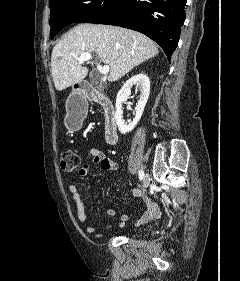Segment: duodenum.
Listing matches in <instances>:
<instances>
[{
  "mask_svg": "<svg viewBox=\"0 0 240 281\" xmlns=\"http://www.w3.org/2000/svg\"><path fill=\"white\" fill-rule=\"evenodd\" d=\"M78 95L84 101L95 102L103 108L105 114V140L109 144H115L118 140V130L112 102L88 86H82L78 91Z\"/></svg>",
  "mask_w": 240,
  "mask_h": 281,
  "instance_id": "obj_1",
  "label": "duodenum"
}]
</instances>
